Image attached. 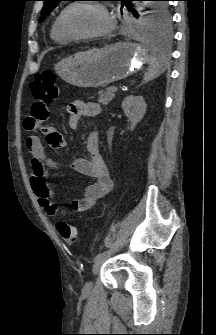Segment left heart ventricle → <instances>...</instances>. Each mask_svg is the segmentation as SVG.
I'll list each match as a JSON object with an SVG mask.
<instances>
[{"label":"left heart ventricle","mask_w":216,"mask_h":335,"mask_svg":"<svg viewBox=\"0 0 216 335\" xmlns=\"http://www.w3.org/2000/svg\"><path fill=\"white\" fill-rule=\"evenodd\" d=\"M104 13L94 5H82L74 8L67 16L66 24L75 33H94L108 26Z\"/></svg>","instance_id":"1"}]
</instances>
